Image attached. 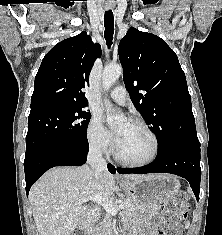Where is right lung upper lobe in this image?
Masks as SVG:
<instances>
[{
	"mask_svg": "<svg viewBox=\"0 0 222 235\" xmlns=\"http://www.w3.org/2000/svg\"><path fill=\"white\" fill-rule=\"evenodd\" d=\"M99 44H93L85 31L56 44L43 58L35 76L30 115L57 105L88 104L84 88L97 57Z\"/></svg>",
	"mask_w": 222,
	"mask_h": 235,
	"instance_id": "obj_1",
	"label": "right lung upper lobe"
}]
</instances>
